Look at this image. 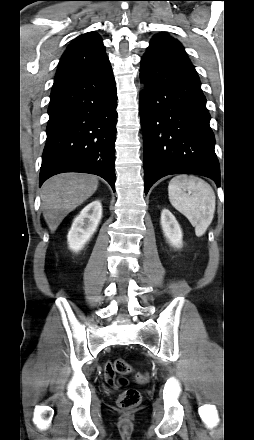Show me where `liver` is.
I'll use <instances>...</instances> for the list:
<instances>
[{"mask_svg": "<svg viewBox=\"0 0 254 440\" xmlns=\"http://www.w3.org/2000/svg\"><path fill=\"white\" fill-rule=\"evenodd\" d=\"M98 188L97 177L62 173L48 179L41 189L44 219L53 233L64 217L91 197Z\"/></svg>", "mask_w": 254, "mask_h": 440, "instance_id": "liver-1", "label": "liver"}]
</instances>
